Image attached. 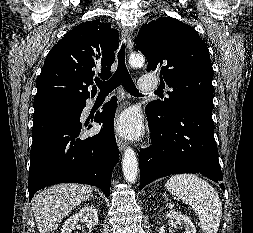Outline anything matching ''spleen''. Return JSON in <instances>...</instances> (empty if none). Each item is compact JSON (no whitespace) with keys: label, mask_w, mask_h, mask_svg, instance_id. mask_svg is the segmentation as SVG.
Returning <instances> with one entry per match:
<instances>
[{"label":"spleen","mask_w":253,"mask_h":233,"mask_svg":"<svg viewBox=\"0 0 253 233\" xmlns=\"http://www.w3.org/2000/svg\"><path fill=\"white\" fill-rule=\"evenodd\" d=\"M165 186L170 194L192 206L204 233H217L222 204L208 182L194 174H178L170 177Z\"/></svg>","instance_id":"1"}]
</instances>
